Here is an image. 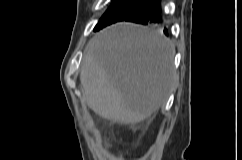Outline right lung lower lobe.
Returning <instances> with one entry per match:
<instances>
[{
  "label": "right lung lower lobe",
  "mask_w": 242,
  "mask_h": 160,
  "mask_svg": "<svg viewBox=\"0 0 242 160\" xmlns=\"http://www.w3.org/2000/svg\"><path fill=\"white\" fill-rule=\"evenodd\" d=\"M159 0H149L121 21H130L143 25L161 23ZM164 33L168 35L167 29L164 28Z\"/></svg>",
  "instance_id": "98d812e1"
}]
</instances>
